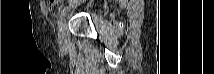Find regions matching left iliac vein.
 <instances>
[{
  "mask_svg": "<svg viewBox=\"0 0 214 74\" xmlns=\"http://www.w3.org/2000/svg\"><path fill=\"white\" fill-rule=\"evenodd\" d=\"M65 30H66V24H65V17L62 18V20L58 23V42L59 44H64L65 42Z\"/></svg>",
  "mask_w": 214,
  "mask_h": 74,
  "instance_id": "left-iliac-vein-1",
  "label": "left iliac vein"
}]
</instances>
